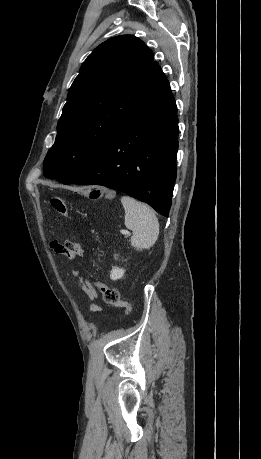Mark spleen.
Returning a JSON list of instances; mask_svg holds the SVG:
<instances>
[{
    "label": "spleen",
    "instance_id": "3e777b00",
    "mask_svg": "<svg viewBox=\"0 0 261 459\" xmlns=\"http://www.w3.org/2000/svg\"><path fill=\"white\" fill-rule=\"evenodd\" d=\"M121 203L125 210V226L131 229V245L137 249H149L159 236V222L153 210L137 200L123 196Z\"/></svg>",
    "mask_w": 261,
    "mask_h": 459
}]
</instances>
